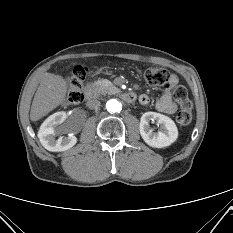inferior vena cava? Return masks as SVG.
<instances>
[{"mask_svg":"<svg viewBox=\"0 0 233 233\" xmlns=\"http://www.w3.org/2000/svg\"><path fill=\"white\" fill-rule=\"evenodd\" d=\"M89 109H98L101 105L100 101L97 98H91L86 103Z\"/></svg>","mask_w":233,"mask_h":233,"instance_id":"1","label":"inferior vena cava"}]
</instances>
